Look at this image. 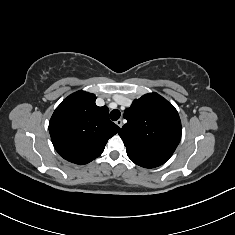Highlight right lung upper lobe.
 Segmentation results:
<instances>
[{
  "label": "right lung upper lobe",
  "mask_w": 235,
  "mask_h": 235,
  "mask_svg": "<svg viewBox=\"0 0 235 235\" xmlns=\"http://www.w3.org/2000/svg\"><path fill=\"white\" fill-rule=\"evenodd\" d=\"M94 94L78 91L56 108L50 122L52 143L61 157L87 164L99 157L109 138L120 128L110 121L109 109L95 104Z\"/></svg>",
  "instance_id": "right-lung-upper-lobe-1"
}]
</instances>
